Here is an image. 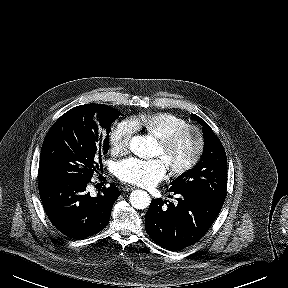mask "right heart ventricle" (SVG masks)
I'll return each mask as SVG.
<instances>
[{
	"label": "right heart ventricle",
	"instance_id": "right-heart-ventricle-1",
	"mask_svg": "<svg viewBox=\"0 0 288 288\" xmlns=\"http://www.w3.org/2000/svg\"><path fill=\"white\" fill-rule=\"evenodd\" d=\"M132 122L136 128H143L158 139L181 126L188 124L184 118L169 112L144 114L133 119Z\"/></svg>",
	"mask_w": 288,
	"mask_h": 288
}]
</instances>
